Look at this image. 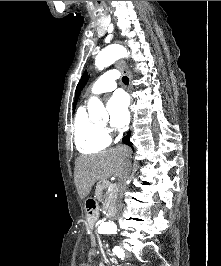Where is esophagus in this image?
<instances>
[{
	"instance_id": "34e87169",
	"label": "esophagus",
	"mask_w": 221,
	"mask_h": 266,
	"mask_svg": "<svg viewBox=\"0 0 221 266\" xmlns=\"http://www.w3.org/2000/svg\"><path fill=\"white\" fill-rule=\"evenodd\" d=\"M118 67L122 70V72H124L127 77L129 78V92L131 93L132 92V74L131 72L129 71L128 67L126 66L125 62L123 60L119 61L118 62Z\"/></svg>"
}]
</instances>
